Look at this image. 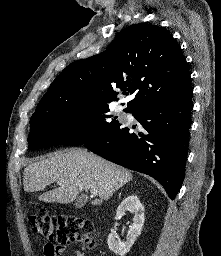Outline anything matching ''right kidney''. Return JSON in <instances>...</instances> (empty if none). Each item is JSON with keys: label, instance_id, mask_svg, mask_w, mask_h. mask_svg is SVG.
Wrapping results in <instances>:
<instances>
[{"label": "right kidney", "instance_id": "ca27d5eb", "mask_svg": "<svg viewBox=\"0 0 221 256\" xmlns=\"http://www.w3.org/2000/svg\"><path fill=\"white\" fill-rule=\"evenodd\" d=\"M126 211L133 214V222L130 226L126 241L122 242L117 239L115 233L109 234L107 239L109 249L119 256H125L130 251L137 237L141 234L145 220L144 207L136 195H129L122 201L117 209V217H122L125 215Z\"/></svg>", "mask_w": 221, "mask_h": 256}]
</instances>
